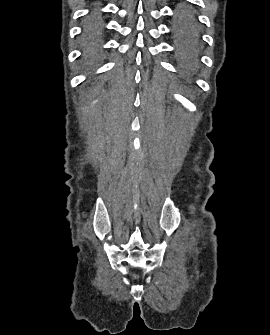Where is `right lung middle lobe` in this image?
<instances>
[{
  "label": "right lung middle lobe",
  "mask_w": 270,
  "mask_h": 335,
  "mask_svg": "<svg viewBox=\"0 0 270 335\" xmlns=\"http://www.w3.org/2000/svg\"><path fill=\"white\" fill-rule=\"evenodd\" d=\"M98 28V21L96 18L92 17L87 23V33H92Z\"/></svg>",
  "instance_id": "1"
}]
</instances>
